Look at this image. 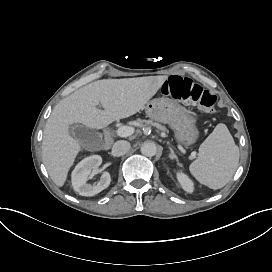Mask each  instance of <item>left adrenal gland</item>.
<instances>
[{"label":"left adrenal gland","mask_w":272,"mask_h":272,"mask_svg":"<svg viewBox=\"0 0 272 272\" xmlns=\"http://www.w3.org/2000/svg\"><path fill=\"white\" fill-rule=\"evenodd\" d=\"M170 151H171L170 159H171L172 161L178 162V159L176 158V155H175V153H174V151H173L172 148H170Z\"/></svg>","instance_id":"obj_1"}]
</instances>
